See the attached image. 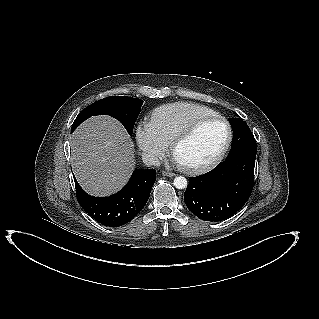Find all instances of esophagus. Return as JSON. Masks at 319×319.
Segmentation results:
<instances>
[{
    "mask_svg": "<svg viewBox=\"0 0 319 319\" xmlns=\"http://www.w3.org/2000/svg\"><path fill=\"white\" fill-rule=\"evenodd\" d=\"M162 175L167 176V177H174L175 173L170 172V171H162Z\"/></svg>",
    "mask_w": 319,
    "mask_h": 319,
    "instance_id": "34e87169",
    "label": "esophagus"
}]
</instances>
